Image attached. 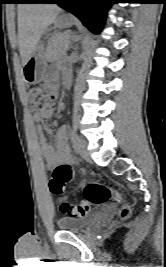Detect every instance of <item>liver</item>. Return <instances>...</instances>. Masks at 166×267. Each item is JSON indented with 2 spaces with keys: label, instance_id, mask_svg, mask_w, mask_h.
<instances>
[{
  "label": "liver",
  "instance_id": "1",
  "mask_svg": "<svg viewBox=\"0 0 166 267\" xmlns=\"http://www.w3.org/2000/svg\"><path fill=\"white\" fill-rule=\"evenodd\" d=\"M61 9L51 4L18 5V45L23 65L36 48L48 26L56 20Z\"/></svg>",
  "mask_w": 166,
  "mask_h": 267
}]
</instances>
